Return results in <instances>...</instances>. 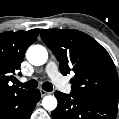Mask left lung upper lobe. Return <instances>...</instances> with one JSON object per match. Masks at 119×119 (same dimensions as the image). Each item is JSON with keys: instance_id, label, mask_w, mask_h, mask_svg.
<instances>
[{"instance_id": "left-lung-upper-lobe-1", "label": "left lung upper lobe", "mask_w": 119, "mask_h": 119, "mask_svg": "<svg viewBox=\"0 0 119 119\" xmlns=\"http://www.w3.org/2000/svg\"><path fill=\"white\" fill-rule=\"evenodd\" d=\"M43 42L59 61L60 72L74 71L71 93L118 105V75L108 52L78 30L44 29Z\"/></svg>"}]
</instances>
